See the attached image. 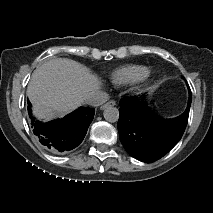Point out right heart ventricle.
<instances>
[{"label":"right heart ventricle","instance_id":"e07e8e85","mask_svg":"<svg viewBox=\"0 0 213 213\" xmlns=\"http://www.w3.org/2000/svg\"><path fill=\"white\" fill-rule=\"evenodd\" d=\"M147 68L138 64H127L116 68L110 75V80L118 86L137 82L144 76Z\"/></svg>","mask_w":213,"mask_h":213}]
</instances>
